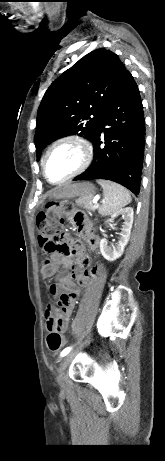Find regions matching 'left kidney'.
Segmentation results:
<instances>
[{"label": "left kidney", "instance_id": "obj_1", "mask_svg": "<svg viewBox=\"0 0 165 461\" xmlns=\"http://www.w3.org/2000/svg\"><path fill=\"white\" fill-rule=\"evenodd\" d=\"M118 215H122L124 219V223L121 229L120 238L116 246L108 245V241L106 238H103L100 242V251L102 256L108 261H114L121 257L124 252V248L127 245L131 228L133 224V208L126 207L123 209H119L111 215V220H114Z\"/></svg>", "mask_w": 165, "mask_h": 461}]
</instances>
